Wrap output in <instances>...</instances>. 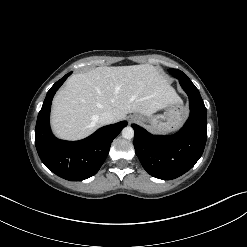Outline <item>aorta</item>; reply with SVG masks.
Returning a JSON list of instances; mask_svg holds the SVG:
<instances>
[{"label": "aorta", "mask_w": 247, "mask_h": 247, "mask_svg": "<svg viewBox=\"0 0 247 247\" xmlns=\"http://www.w3.org/2000/svg\"><path fill=\"white\" fill-rule=\"evenodd\" d=\"M122 137L125 139H132L134 137V129L130 126L123 128Z\"/></svg>", "instance_id": "1"}]
</instances>
